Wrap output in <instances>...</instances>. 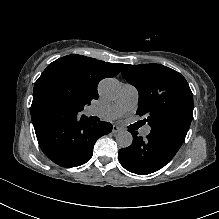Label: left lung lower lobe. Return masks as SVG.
Returning <instances> with one entry per match:
<instances>
[{
    "mask_svg": "<svg viewBox=\"0 0 219 219\" xmlns=\"http://www.w3.org/2000/svg\"><path fill=\"white\" fill-rule=\"evenodd\" d=\"M130 132L133 135V142L129 147L119 150V161L132 173L147 175L159 170L180 148L152 133L143 138L138 136L137 131Z\"/></svg>",
    "mask_w": 219,
    "mask_h": 219,
    "instance_id": "obj_1",
    "label": "left lung lower lobe"
}]
</instances>
